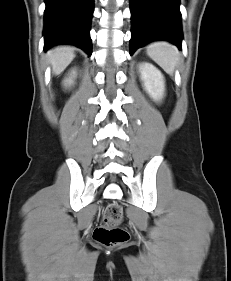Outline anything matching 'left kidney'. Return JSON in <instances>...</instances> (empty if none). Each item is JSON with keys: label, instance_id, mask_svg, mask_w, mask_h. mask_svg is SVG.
<instances>
[{"label": "left kidney", "instance_id": "5707ae66", "mask_svg": "<svg viewBox=\"0 0 231 281\" xmlns=\"http://www.w3.org/2000/svg\"><path fill=\"white\" fill-rule=\"evenodd\" d=\"M140 78L143 87L154 101H160L165 93V79L161 71L150 63L139 65Z\"/></svg>", "mask_w": 231, "mask_h": 281}]
</instances>
